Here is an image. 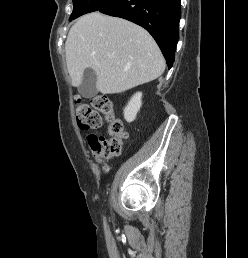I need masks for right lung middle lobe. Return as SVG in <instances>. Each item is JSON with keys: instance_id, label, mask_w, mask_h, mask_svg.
Masks as SVG:
<instances>
[{"instance_id": "dd1d6c3e", "label": "right lung middle lobe", "mask_w": 248, "mask_h": 258, "mask_svg": "<svg viewBox=\"0 0 248 258\" xmlns=\"http://www.w3.org/2000/svg\"><path fill=\"white\" fill-rule=\"evenodd\" d=\"M112 1L113 0H73V12L69 20L71 21L83 14L97 11Z\"/></svg>"}]
</instances>
